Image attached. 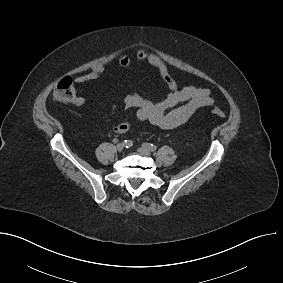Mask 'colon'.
Listing matches in <instances>:
<instances>
[{
	"label": "colon",
	"instance_id": "5ec220e1",
	"mask_svg": "<svg viewBox=\"0 0 283 283\" xmlns=\"http://www.w3.org/2000/svg\"><path fill=\"white\" fill-rule=\"evenodd\" d=\"M75 87L70 78L62 79L53 90V99L58 103H68L75 97ZM212 113L220 119L225 117V113L218 107L212 108Z\"/></svg>",
	"mask_w": 283,
	"mask_h": 283
}]
</instances>
